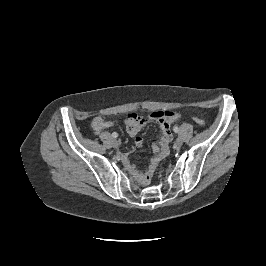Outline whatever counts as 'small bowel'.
<instances>
[{
    "instance_id": "obj_1",
    "label": "small bowel",
    "mask_w": 266,
    "mask_h": 266,
    "mask_svg": "<svg viewBox=\"0 0 266 266\" xmlns=\"http://www.w3.org/2000/svg\"><path fill=\"white\" fill-rule=\"evenodd\" d=\"M180 117L179 110H171V111H156L147 116H141L135 113L129 114L126 116L124 123L127 129V132L132 137H135V145L140 147L143 143L141 137L138 136V133L141 129L147 124H156L160 128V138L159 141L153 145L152 149L155 152L154 157L152 158L150 165L146 172L142 175H139L141 179H147L157 164L167 156L169 152V145L172 141V133H171V125ZM113 125V123L109 120H106L102 117H95L92 120V130L95 134H99L103 129L109 128ZM126 165L129 168L132 166L126 162Z\"/></svg>"
}]
</instances>
